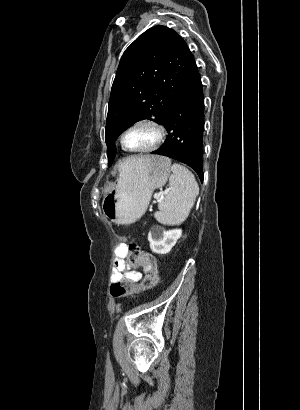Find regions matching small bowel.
<instances>
[{"mask_svg":"<svg viewBox=\"0 0 300 410\" xmlns=\"http://www.w3.org/2000/svg\"><path fill=\"white\" fill-rule=\"evenodd\" d=\"M114 272L112 276L113 281L120 279H129L132 282H137L141 279V272L135 268L137 265L132 264L128 260V252L125 244H120L115 250Z\"/></svg>","mask_w":300,"mask_h":410,"instance_id":"small-bowel-1","label":"small bowel"}]
</instances>
